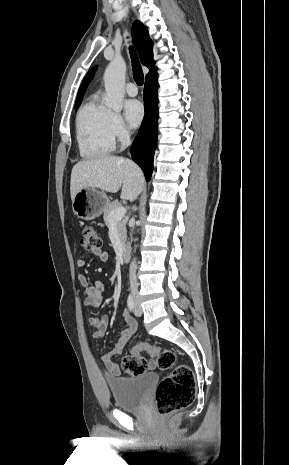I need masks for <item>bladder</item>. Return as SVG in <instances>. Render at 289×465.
Here are the masks:
<instances>
[{
    "mask_svg": "<svg viewBox=\"0 0 289 465\" xmlns=\"http://www.w3.org/2000/svg\"><path fill=\"white\" fill-rule=\"evenodd\" d=\"M156 381V374L148 373L135 378H109L107 383L117 408L137 410L143 406Z\"/></svg>",
    "mask_w": 289,
    "mask_h": 465,
    "instance_id": "31cf9c89",
    "label": "bladder"
}]
</instances>
